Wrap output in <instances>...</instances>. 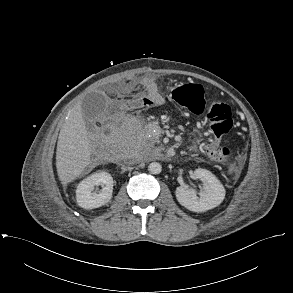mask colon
Here are the masks:
<instances>
[{"label":"colon","instance_id":"obj_1","mask_svg":"<svg viewBox=\"0 0 293 293\" xmlns=\"http://www.w3.org/2000/svg\"><path fill=\"white\" fill-rule=\"evenodd\" d=\"M171 99L196 115H200L206 110L204 90L199 84L189 83L175 87L171 91ZM153 103L154 99L151 95H138L132 99L124 100L120 108L122 110H136L149 107ZM207 121L213 139L204 146L206 154L214 161L230 164L234 153L230 148L219 146V140L233 125L231 108L222 102L211 103L207 109Z\"/></svg>","mask_w":293,"mask_h":293}]
</instances>
